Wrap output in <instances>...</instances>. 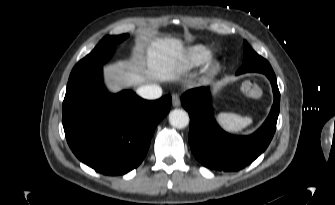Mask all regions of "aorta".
Returning a JSON list of instances; mask_svg holds the SVG:
<instances>
[{"label":"aorta","instance_id":"762f6f07","mask_svg":"<svg viewBox=\"0 0 335 205\" xmlns=\"http://www.w3.org/2000/svg\"><path fill=\"white\" fill-rule=\"evenodd\" d=\"M169 123L171 126L182 129L189 124L188 113L182 109H174L169 113Z\"/></svg>","mask_w":335,"mask_h":205}]
</instances>
